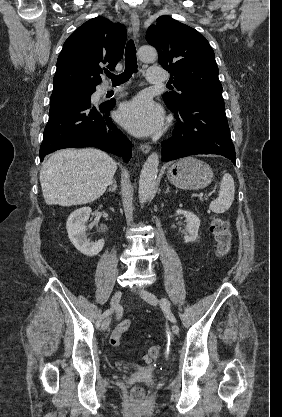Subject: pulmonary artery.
<instances>
[{
    "instance_id": "pulmonary-artery-1",
    "label": "pulmonary artery",
    "mask_w": 282,
    "mask_h": 417,
    "mask_svg": "<svg viewBox=\"0 0 282 417\" xmlns=\"http://www.w3.org/2000/svg\"><path fill=\"white\" fill-rule=\"evenodd\" d=\"M164 68L162 65H149L148 72L146 76L147 83H164L166 77L162 74Z\"/></svg>"
}]
</instances>
